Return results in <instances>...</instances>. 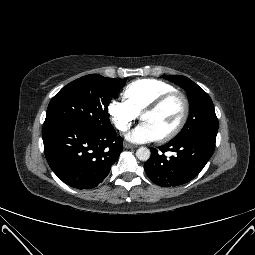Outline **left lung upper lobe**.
Segmentation results:
<instances>
[{"mask_svg": "<svg viewBox=\"0 0 255 255\" xmlns=\"http://www.w3.org/2000/svg\"><path fill=\"white\" fill-rule=\"evenodd\" d=\"M164 78H169L163 75ZM172 81L184 88L190 104L189 118L181 132L171 141L182 142L191 139L216 141L218 119L209 95L185 76H172Z\"/></svg>", "mask_w": 255, "mask_h": 255, "instance_id": "5c2ea615", "label": "left lung upper lobe"}]
</instances>
